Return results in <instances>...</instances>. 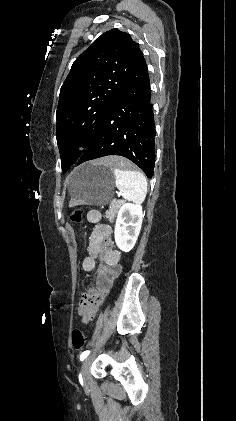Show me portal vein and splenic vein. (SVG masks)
I'll return each mask as SVG.
<instances>
[{
	"instance_id": "portal-vein-and-splenic-vein-1",
	"label": "portal vein and splenic vein",
	"mask_w": 236,
	"mask_h": 421,
	"mask_svg": "<svg viewBox=\"0 0 236 421\" xmlns=\"http://www.w3.org/2000/svg\"><path fill=\"white\" fill-rule=\"evenodd\" d=\"M116 197H117V198H120V197H121V194L118 192V193L116 194Z\"/></svg>"
}]
</instances>
